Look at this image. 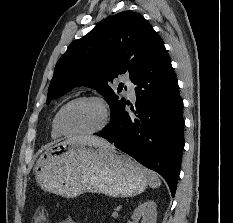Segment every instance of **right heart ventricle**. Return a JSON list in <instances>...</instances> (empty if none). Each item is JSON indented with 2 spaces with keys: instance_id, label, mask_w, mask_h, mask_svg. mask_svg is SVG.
Listing matches in <instances>:
<instances>
[{
  "instance_id": "1",
  "label": "right heart ventricle",
  "mask_w": 233,
  "mask_h": 223,
  "mask_svg": "<svg viewBox=\"0 0 233 223\" xmlns=\"http://www.w3.org/2000/svg\"><path fill=\"white\" fill-rule=\"evenodd\" d=\"M50 134H51V137L53 139H58L61 137V135L56 131L55 127H54V120L52 122V125H51V131H50Z\"/></svg>"
}]
</instances>
